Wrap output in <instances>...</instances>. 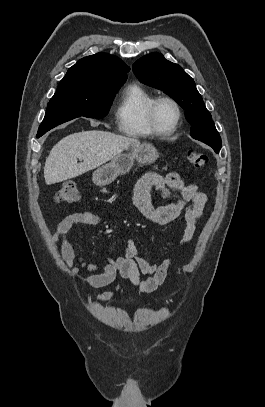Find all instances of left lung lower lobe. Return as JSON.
Returning a JSON list of instances; mask_svg holds the SVG:
<instances>
[{
  "label": "left lung lower lobe",
  "instance_id": "obj_1",
  "mask_svg": "<svg viewBox=\"0 0 265 407\" xmlns=\"http://www.w3.org/2000/svg\"><path fill=\"white\" fill-rule=\"evenodd\" d=\"M209 146H211V147L214 149V151H215L216 153H218L219 150H220V148H216L215 146H212V145H209Z\"/></svg>",
  "mask_w": 265,
  "mask_h": 407
}]
</instances>
